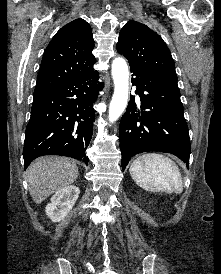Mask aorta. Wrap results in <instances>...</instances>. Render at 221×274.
<instances>
[{
	"instance_id": "aorta-1",
	"label": "aorta",
	"mask_w": 221,
	"mask_h": 274,
	"mask_svg": "<svg viewBox=\"0 0 221 274\" xmlns=\"http://www.w3.org/2000/svg\"><path fill=\"white\" fill-rule=\"evenodd\" d=\"M114 93L109 106L108 119L116 121L124 112L128 102L129 72L126 61L117 57L112 62Z\"/></svg>"
}]
</instances>
